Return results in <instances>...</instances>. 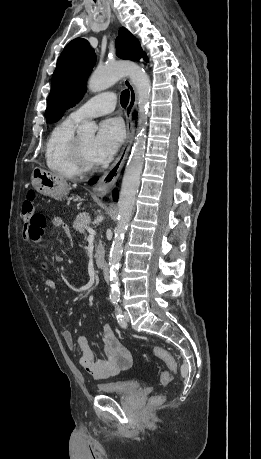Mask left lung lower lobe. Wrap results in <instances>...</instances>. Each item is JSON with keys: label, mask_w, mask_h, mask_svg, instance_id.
Returning <instances> with one entry per match:
<instances>
[{"label": "left lung lower lobe", "mask_w": 261, "mask_h": 459, "mask_svg": "<svg viewBox=\"0 0 261 459\" xmlns=\"http://www.w3.org/2000/svg\"><path fill=\"white\" fill-rule=\"evenodd\" d=\"M97 181V178L90 180L89 184H94Z\"/></svg>", "instance_id": "0a47b994"}]
</instances>
